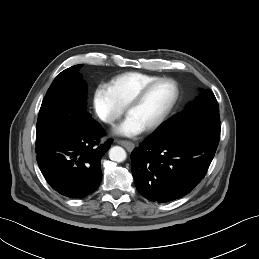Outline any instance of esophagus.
<instances>
[{
	"mask_svg": "<svg viewBox=\"0 0 259 259\" xmlns=\"http://www.w3.org/2000/svg\"><path fill=\"white\" fill-rule=\"evenodd\" d=\"M116 143L125 147L128 151H132L135 147V144L130 141L117 140Z\"/></svg>",
	"mask_w": 259,
	"mask_h": 259,
	"instance_id": "obj_1",
	"label": "esophagus"
}]
</instances>
